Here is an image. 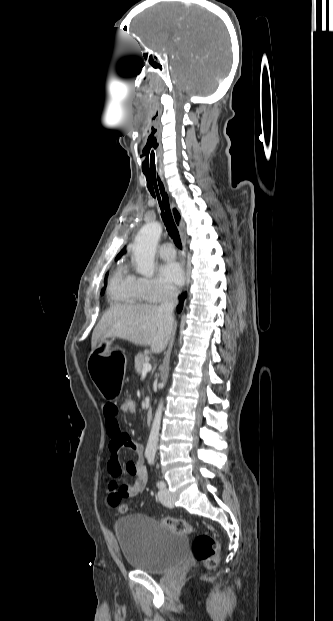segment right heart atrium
<instances>
[{"label":"right heart atrium","mask_w":333,"mask_h":621,"mask_svg":"<svg viewBox=\"0 0 333 621\" xmlns=\"http://www.w3.org/2000/svg\"><path fill=\"white\" fill-rule=\"evenodd\" d=\"M137 286L144 300L149 303L161 302L175 295L173 288L164 285L156 278L139 277Z\"/></svg>","instance_id":"right-heart-atrium-1"}]
</instances>
